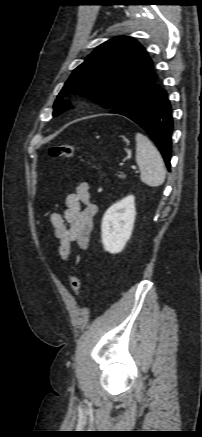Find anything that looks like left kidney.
<instances>
[{
    "mask_svg": "<svg viewBox=\"0 0 202 437\" xmlns=\"http://www.w3.org/2000/svg\"><path fill=\"white\" fill-rule=\"evenodd\" d=\"M135 216V197L132 195L113 204L105 212L101 224V237L107 252L117 254L124 249L132 235Z\"/></svg>",
    "mask_w": 202,
    "mask_h": 437,
    "instance_id": "1",
    "label": "left kidney"
}]
</instances>
